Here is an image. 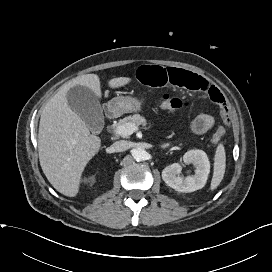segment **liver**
Masks as SVG:
<instances>
[{
    "label": "liver",
    "mask_w": 272,
    "mask_h": 272,
    "mask_svg": "<svg viewBox=\"0 0 272 272\" xmlns=\"http://www.w3.org/2000/svg\"><path fill=\"white\" fill-rule=\"evenodd\" d=\"M130 81L128 77H118L109 80L108 85L119 88ZM75 85L85 86L101 97L100 79L96 74L68 82L43 108L38 134L41 168L50 184L68 197L77 195L81 175L101 147V139L90 133L86 123L68 105L67 92Z\"/></svg>",
    "instance_id": "liver-1"
}]
</instances>
